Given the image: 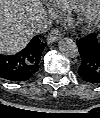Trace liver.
Returning a JSON list of instances; mask_svg holds the SVG:
<instances>
[{"instance_id": "obj_1", "label": "liver", "mask_w": 100, "mask_h": 118, "mask_svg": "<svg viewBox=\"0 0 100 118\" xmlns=\"http://www.w3.org/2000/svg\"><path fill=\"white\" fill-rule=\"evenodd\" d=\"M44 14L41 0H0V52L21 51L34 35L32 22Z\"/></svg>"}]
</instances>
